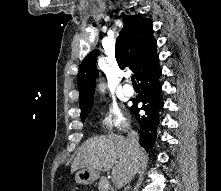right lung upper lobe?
<instances>
[{
	"instance_id": "obj_1",
	"label": "right lung upper lobe",
	"mask_w": 221,
	"mask_h": 191,
	"mask_svg": "<svg viewBox=\"0 0 221 191\" xmlns=\"http://www.w3.org/2000/svg\"><path fill=\"white\" fill-rule=\"evenodd\" d=\"M123 23V29L116 40V60L121 69L130 66L137 78L159 59L156 54V40L152 34V22L137 14L124 16ZM99 54L98 50L90 52L79 68L77 83L81 113L91 111L93 107L95 80L98 75L95 56Z\"/></svg>"
}]
</instances>
